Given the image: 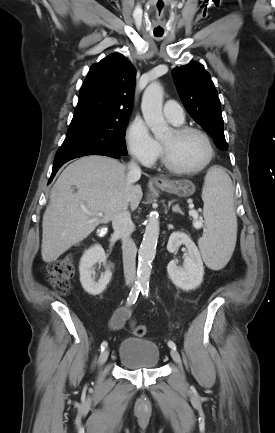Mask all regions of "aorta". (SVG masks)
I'll list each match as a JSON object with an SVG mask.
<instances>
[{"instance_id":"aorta-1","label":"aorta","mask_w":275,"mask_h":433,"mask_svg":"<svg viewBox=\"0 0 275 433\" xmlns=\"http://www.w3.org/2000/svg\"><path fill=\"white\" fill-rule=\"evenodd\" d=\"M163 94L160 83L153 81L145 89L141 103L144 120L156 138L162 137L168 130L162 113ZM159 231L158 215L152 212L147 218L145 233L138 251L137 283L142 288L148 287L149 284Z\"/></svg>"}]
</instances>
